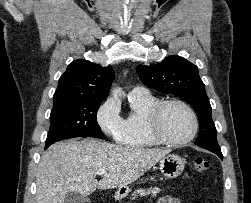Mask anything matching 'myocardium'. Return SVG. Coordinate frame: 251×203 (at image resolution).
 Returning <instances> with one entry per match:
<instances>
[{
	"label": "myocardium",
	"instance_id": "myocardium-1",
	"mask_svg": "<svg viewBox=\"0 0 251 203\" xmlns=\"http://www.w3.org/2000/svg\"><path fill=\"white\" fill-rule=\"evenodd\" d=\"M171 104H178L184 107L192 119V130L188 136L180 140L166 137L160 128L163 110ZM146 129L149 136L159 144L179 146L184 145L194 139L199 129V121L195 110L186 101L178 98L161 100L155 103L148 111L146 116Z\"/></svg>",
	"mask_w": 251,
	"mask_h": 203
}]
</instances>
